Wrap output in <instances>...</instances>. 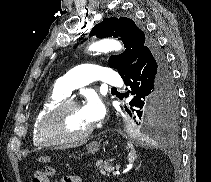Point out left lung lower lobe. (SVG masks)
I'll use <instances>...</instances> for the list:
<instances>
[{
    "mask_svg": "<svg viewBox=\"0 0 211 182\" xmlns=\"http://www.w3.org/2000/svg\"><path fill=\"white\" fill-rule=\"evenodd\" d=\"M129 90L125 97H132L129 104L136 115L141 118L140 109L144 100H150L156 108L159 119L168 123L178 115L177 91L166 58L157 43L150 40L141 52L134 66L122 76Z\"/></svg>",
    "mask_w": 211,
    "mask_h": 182,
    "instance_id": "0a47b994",
    "label": "left lung lower lobe"
}]
</instances>
